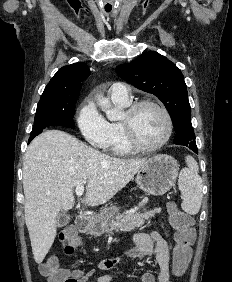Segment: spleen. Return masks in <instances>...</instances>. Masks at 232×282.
<instances>
[{
    "label": "spleen",
    "instance_id": "1",
    "mask_svg": "<svg viewBox=\"0 0 232 282\" xmlns=\"http://www.w3.org/2000/svg\"><path fill=\"white\" fill-rule=\"evenodd\" d=\"M187 168L181 170L178 185L182 194V209L195 215L199 212L202 202V180L198 175L199 167L192 156L185 158Z\"/></svg>",
    "mask_w": 232,
    "mask_h": 282
}]
</instances>
